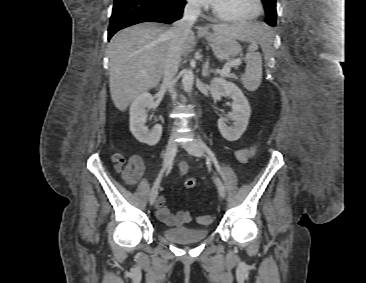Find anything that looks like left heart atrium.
<instances>
[{"label": "left heart atrium", "instance_id": "39dd6f15", "mask_svg": "<svg viewBox=\"0 0 366 283\" xmlns=\"http://www.w3.org/2000/svg\"><path fill=\"white\" fill-rule=\"evenodd\" d=\"M199 3H204V4H214L216 2V0H198Z\"/></svg>", "mask_w": 366, "mask_h": 283}]
</instances>
